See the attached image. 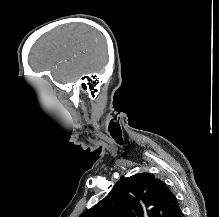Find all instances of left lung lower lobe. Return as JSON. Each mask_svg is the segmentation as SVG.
I'll return each mask as SVG.
<instances>
[{"label":"left lung lower lobe","mask_w":219,"mask_h":217,"mask_svg":"<svg viewBox=\"0 0 219 217\" xmlns=\"http://www.w3.org/2000/svg\"><path fill=\"white\" fill-rule=\"evenodd\" d=\"M175 217H183L181 209H180V211L177 213V215Z\"/></svg>","instance_id":"1"}]
</instances>
